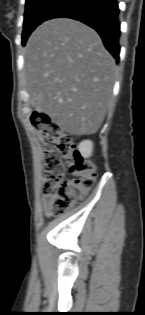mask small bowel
Masks as SVG:
<instances>
[{"label":"small bowel","mask_w":145,"mask_h":315,"mask_svg":"<svg viewBox=\"0 0 145 315\" xmlns=\"http://www.w3.org/2000/svg\"><path fill=\"white\" fill-rule=\"evenodd\" d=\"M50 201H51V196L45 195L43 197V205H44V208H45L46 215H51V213H52Z\"/></svg>","instance_id":"c3829d8e"}]
</instances>
